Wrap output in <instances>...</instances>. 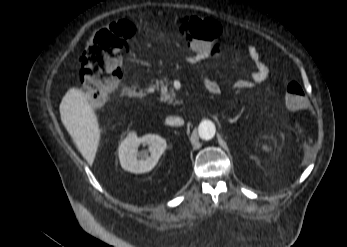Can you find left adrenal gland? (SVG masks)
<instances>
[{
    "instance_id": "a2214340",
    "label": "left adrenal gland",
    "mask_w": 347,
    "mask_h": 247,
    "mask_svg": "<svg viewBox=\"0 0 347 247\" xmlns=\"http://www.w3.org/2000/svg\"><path fill=\"white\" fill-rule=\"evenodd\" d=\"M239 117H240V114L239 115H237L235 118H228V121L230 122V123H234V122H236L238 119H239Z\"/></svg>"
}]
</instances>
